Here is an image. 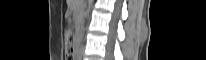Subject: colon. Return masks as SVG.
<instances>
[{
  "mask_svg": "<svg viewBox=\"0 0 206 60\" xmlns=\"http://www.w3.org/2000/svg\"><path fill=\"white\" fill-rule=\"evenodd\" d=\"M67 41H68V54L71 56L73 54V45H72V39H73V32L71 28H67L65 32Z\"/></svg>",
  "mask_w": 206,
  "mask_h": 60,
  "instance_id": "obj_1",
  "label": "colon"
}]
</instances>
